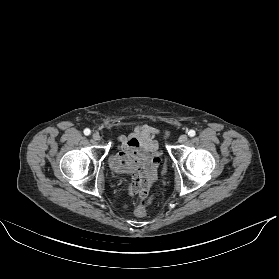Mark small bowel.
I'll return each instance as SVG.
<instances>
[{
	"instance_id": "c3829d8e",
	"label": "small bowel",
	"mask_w": 279,
	"mask_h": 279,
	"mask_svg": "<svg viewBox=\"0 0 279 279\" xmlns=\"http://www.w3.org/2000/svg\"><path fill=\"white\" fill-rule=\"evenodd\" d=\"M158 134L159 131L149 125H139L129 135L118 137V151L110 165L116 173L132 175L128 186L131 197L145 198L154 182L160 162Z\"/></svg>"
}]
</instances>
